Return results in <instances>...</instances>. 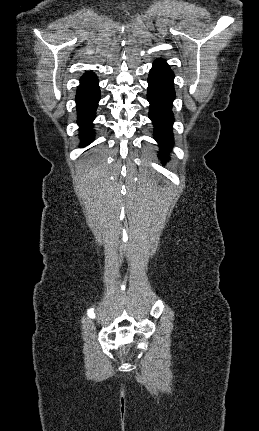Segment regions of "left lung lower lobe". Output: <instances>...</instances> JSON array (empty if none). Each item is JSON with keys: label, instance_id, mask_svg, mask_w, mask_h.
<instances>
[{"label": "left lung lower lobe", "instance_id": "left-lung-lower-lobe-1", "mask_svg": "<svg viewBox=\"0 0 259 431\" xmlns=\"http://www.w3.org/2000/svg\"><path fill=\"white\" fill-rule=\"evenodd\" d=\"M174 74L164 59H157L148 77L149 117L155 128L154 135L160 144V157L166 159L165 151L173 146L171 127L173 124L172 102L175 98Z\"/></svg>", "mask_w": 259, "mask_h": 431}]
</instances>
